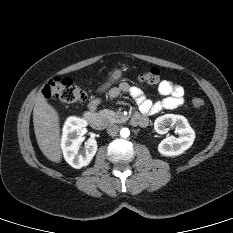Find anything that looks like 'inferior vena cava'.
I'll use <instances>...</instances> for the list:
<instances>
[{"instance_id":"inferior-vena-cava-1","label":"inferior vena cava","mask_w":233,"mask_h":233,"mask_svg":"<svg viewBox=\"0 0 233 233\" xmlns=\"http://www.w3.org/2000/svg\"><path fill=\"white\" fill-rule=\"evenodd\" d=\"M119 126L116 125V124H110L108 127H107V133L111 136H115L118 134L119 132Z\"/></svg>"}]
</instances>
